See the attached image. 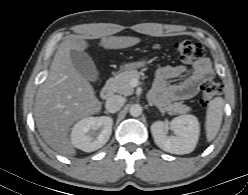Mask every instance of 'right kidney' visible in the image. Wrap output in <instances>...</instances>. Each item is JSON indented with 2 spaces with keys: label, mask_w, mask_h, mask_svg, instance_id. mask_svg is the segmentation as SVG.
I'll use <instances>...</instances> for the list:
<instances>
[{
  "label": "right kidney",
  "mask_w": 248,
  "mask_h": 195,
  "mask_svg": "<svg viewBox=\"0 0 248 195\" xmlns=\"http://www.w3.org/2000/svg\"><path fill=\"white\" fill-rule=\"evenodd\" d=\"M112 125L113 119L107 116L83 118L72 128L71 143L85 152L96 151L109 140Z\"/></svg>",
  "instance_id": "ca27d5eb"
}]
</instances>
